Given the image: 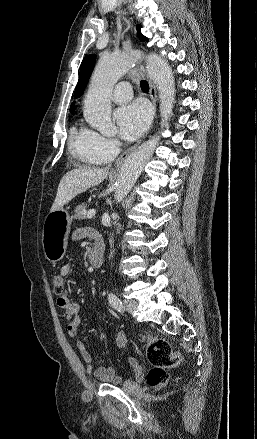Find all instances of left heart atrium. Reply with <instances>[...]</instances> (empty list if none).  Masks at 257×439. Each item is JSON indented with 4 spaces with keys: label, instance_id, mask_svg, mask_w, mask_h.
Returning a JSON list of instances; mask_svg holds the SVG:
<instances>
[{
    "label": "left heart atrium",
    "instance_id": "1",
    "mask_svg": "<svg viewBox=\"0 0 257 439\" xmlns=\"http://www.w3.org/2000/svg\"><path fill=\"white\" fill-rule=\"evenodd\" d=\"M120 133L125 139L140 136L147 128L151 119V110L143 101H135L119 108L115 112Z\"/></svg>",
    "mask_w": 257,
    "mask_h": 439
}]
</instances>
